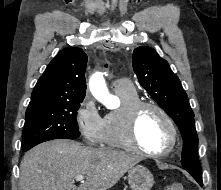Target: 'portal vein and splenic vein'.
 Returning a JSON list of instances; mask_svg holds the SVG:
<instances>
[{"instance_id":"portal-vein-and-splenic-vein-1","label":"portal vein and splenic vein","mask_w":221,"mask_h":190,"mask_svg":"<svg viewBox=\"0 0 221 190\" xmlns=\"http://www.w3.org/2000/svg\"><path fill=\"white\" fill-rule=\"evenodd\" d=\"M76 181H83V179H84V176L83 175H78V176H76Z\"/></svg>"}]
</instances>
